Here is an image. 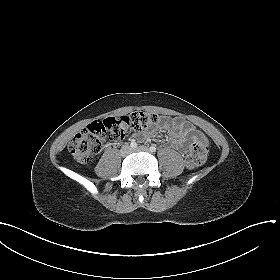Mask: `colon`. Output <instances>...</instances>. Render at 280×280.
I'll return each mask as SVG.
<instances>
[{"label": "colon", "mask_w": 280, "mask_h": 280, "mask_svg": "<svg viewBox=\"0 0 280 280\" xmlns=\"http://www.w3.org/2000/svg\"><path fill=\"white\" fill-rule=\"evenodd\" d=\"M162 120L157 113L143 111L98 120L74 136L69 144V151L77 162L87 164L107 142L118 143L130 131H142ZM207 154L206 141H194L187 155V167L194 169L201 166L206 161Z\"/></svg>", "instance_id": "5ec220e1"}]
</instances>
